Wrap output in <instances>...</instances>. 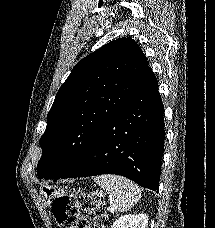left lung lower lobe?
<instances>
[{"label": "left lung lower lobe", "mask_w": 215, "mask_h": 228, "mask_svg": "<svg viewBox=\"0 0 215 228\" xmlns=\"http://www.w3.org/2000/svg\"><path fill=\"white\" fill-rule=\"evenodd\" d=\"M164 107L151 69L139 86L63 175L117 174L158 192L164 152Z\"/></svg>", "instance_id": "obj_1"}]
</instances>
